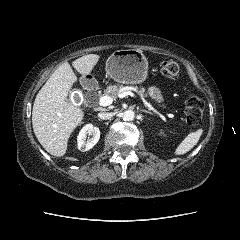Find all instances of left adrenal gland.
<instances>
[{
    "instance_id": "a2214340",
    "label": "left adrenal gland",
    "mask_w": 240,
    "mask_h": 240,
    "mask_svg": "<svg viewBox=\"0 0 240 240\" xmlns=\"http://www.w3.org/2000/svg\"><path fill=\"white\" fill-rule=\"evenodd\" d=\"M142 112H144V113H148V114H151L152 115V112L151 111H148V110H141Z\"/></svg>"
}]
</instances>
